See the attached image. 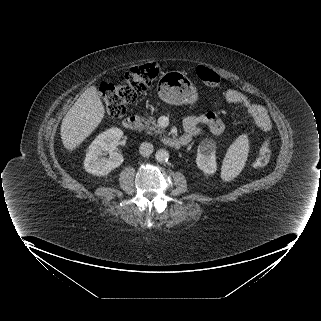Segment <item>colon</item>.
Wrapping results in <instances>:
<instances>
[{"mask_svg":"<svg viewBox=\"0 0 321 321\" xmlns=\"http://www.w3.org/2000/svg\"><path fill=\"white\" fill-rule=\"evenodd\" d=\"M159 67L156 63H145L130 67L124 74V81L119 84L104 83L100 88V96L106 112L112 118H121L129 104L143 94L157 78ZM197 76L206 85L217 87L221 77L206 66L197 68ZM271 158V139L265 138L255 159V166H266Z\"/></svg>","mask_w":321,"mask_h":321,"instance_id":"colon-1","label":"colon"}]
</instances>
